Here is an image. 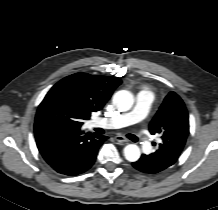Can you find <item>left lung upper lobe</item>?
I'll list each match as a JSON object with an SVG mask.
<instances>
[{
    "label": "left lung upper lobe",
    "mask_w": 218,
    "mask_h": 210,
    "mask_svg": "<svg viewBox=\"0 0 218 210\" xmlns=\"http://www.w3.org/2000/svg\"><path fill=\"white\" fill-rule=\"evenodd\" d=\"M149 130L151 134L158 133L162 138L156 152L177 160L189 134V121L184 102L175 92L166 96Z\"/></svg>",
    "instance_id": "left-lung-upper-lobe-1"
}]
</instances>
